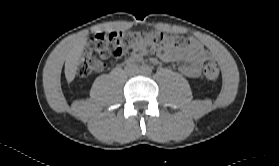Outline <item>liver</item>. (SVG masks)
<instances>
[{
    "instance_id": "1",
    "label": "liver",
    "mask_w": 279,
    "mask_h": 166,
    "mask_svg": "<svg viewBox=\"0 0 279 166\" xmlns=\"http://www.w3.org/2000/svg\"><path fill=\"white\" fill-rule=\"evenodd\" d=\"M86 41V37L77 39L66 55L65 77L68 83L72 82L75 78L79 65V59L82 55Z\"/></svg>"
}]
</instances>
